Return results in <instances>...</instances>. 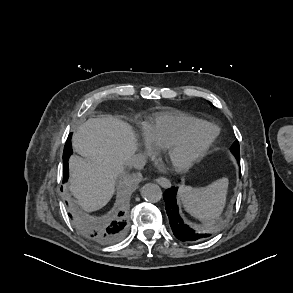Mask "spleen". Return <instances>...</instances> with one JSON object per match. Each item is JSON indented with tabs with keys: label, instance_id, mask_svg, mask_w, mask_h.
<instances>
[{
	"label": "spleen",
	"instance_id": "spleen-1",
	"mask_svg": "<svg viewBox=\"0 0 293 293\" xmlns=\"http://www.w3.org/2000/svg\"><path fill=\"white\" fill-rule=\"evenodd\" d=\"M228 178H221L206 187L183 186L179 197L185 210L193 217L205 222L219 219L226 204Z\"/></svg>",
	"mask_w": 293,
	"mask_h": 293
}]
</instances>
